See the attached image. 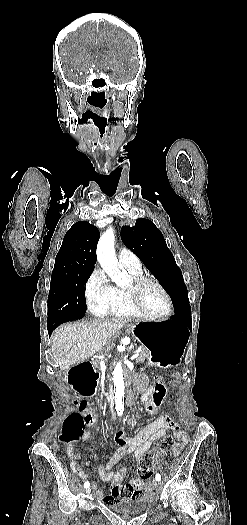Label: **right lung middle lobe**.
<instances>
[{
  "instance_id": "1",
  "label": "right lung middle lobe",
  "mask_w": 247,
  "mask_h": 525,
  "mask_svg": "<svg viewBox=\"0 0 247 525\" xmlns=\"http://www.w3.org/2000/svg\"><path fill=\"white\" fill-rule=\"evenodd\" d=\"M92 271H52L47 327L82 318L86 313L85 285Z\"/></svg>"
}]
</instances>
